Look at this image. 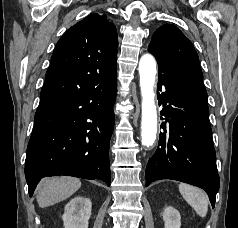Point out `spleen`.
<instances>
[{
  "mask_svg": "<svg viewBox=\"0 0 238 228\" xmlns=\"http://www.w3.org/2000/svg\"><path fill=\"white\" fill-rule=\"evenodd\" d=\"M178 188L183 198L196 211V213L200 217H205L209 203L207 194L201 189L185 183H180Z\"/></svg>",
  "mask_w": 238,
  "mask_h": 228,
  "instance_id": "3e777b00",
  "label": "spleen"
}]
</instances>
